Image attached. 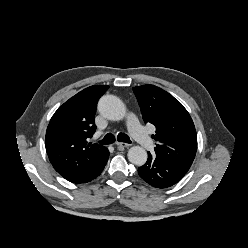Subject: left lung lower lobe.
Returning <instances> with one entry per match:
<instances>
[{"mask_svg":"<svg viewBox=\"0 0 248 248\" xmlns=\"http://www.w3.org/2000/svg\"><path fill=\"white\" fill-rule=\"evenodd\" d=\"M190 166L167 160L160 156H152L148 152L147 162L138 168L139 176L156 188L170 187L183 178Z\"/></svg>","mask_w":248,"mask_h":248,"instance_id":"obj_1","label":"left lung lower lobe"}]
</instances>
